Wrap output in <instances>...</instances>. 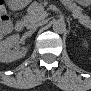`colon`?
Masks as SVG:
<instances>
[{
    "label": "colon",
    "instance_id": "5ec220e1",
    "mask_svg": "<svg viewBox=\"0 0 91 91\" xmlns=\"http://www.w3.org/2000/svg\"><path fill=\"white\" fill-rule=\"evenodd\" d=\"M1 15H2L0 17V20H1V23H0L1 31L3 33H8L10 31V26H11L10 21H9L8 17L3 16V15H5V12H2Z\"/></svg>",
    "mask_w": 91,
    "mask_h": 91
}]
</instances>
